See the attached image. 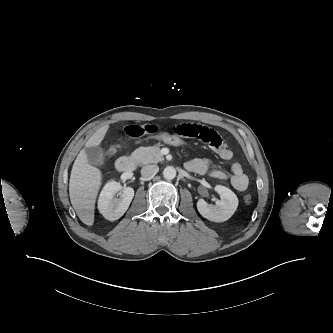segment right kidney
I'll use <instances>...</instances> for the list:
<instances>
[{
	"instance_id": "ca27d5eb",
	"label": "right kidney",
	"mask_w": 333,
	"mask_h": 333,
	"mask_svg": "<svg viewBox=\"0 0 333 333\" xmlns=\"http://www.w3.org/2000/svg\"><path fill=\"white\" fill-rule=\"evenodd\" d=\"M118 193L120 197L115 198ZM133 196V188L111 181L105 185L99 196L98 209L105 219L117 220L127 211Z\"/></svg>"
}]
</instances>
